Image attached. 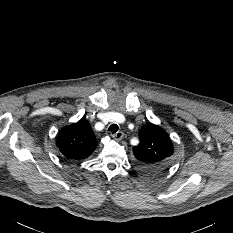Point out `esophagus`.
<instances>
[{"label":"esophagus","mask_w":233,"mask_h":233,"mask_svg":"<svg viewBox=\"0 0 233 233\" xmlns=\"http://www.w3.org/2000/svg\"><path fill=\"white\" fill-rule=\"evenodd\" d=\"M124 134L122 131H118L115 134H113V138L117 141L122 140Z\"/></svg>","instance_id":"obj_1"}]
</instances>
